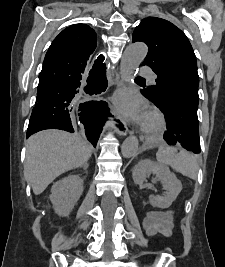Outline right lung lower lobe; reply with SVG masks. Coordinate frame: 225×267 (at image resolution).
Listing matches in <instances>:
<instances>
[{
	"mask_svg": "<svg viewBox=\"0 0 225 267\" xmlns=\"http://www.w3.org/2000/svg\"><path fill=\"white\" fill-rule=\"evenodd\" d=\"M91 54L86 50L72 48L47 51L39 74L36 105L30 117L27 138L44 129L74 132L70 113L85 76L89 74L88 85L84 87L88 93H98L101 88L107 87L105 65L92 64L89 60ZM90 107L91 116L86 125V134L95 146L99 129L108 116V108L101 103H93Z\"/></svg>",
	"mask_w": 225,
	"mask_h": 267,
	"instance_id": "98d812e1",
	"label": "right lung lower lobe"
}]
</instances>
